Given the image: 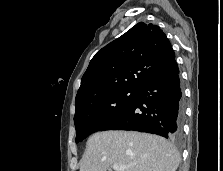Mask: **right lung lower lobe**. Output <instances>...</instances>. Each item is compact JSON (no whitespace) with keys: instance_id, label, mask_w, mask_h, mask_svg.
<instances>
[{"instance_id":"1","label":"right lung lower lobe","mask_w":223,"mask_h":171,"mask_svg":"<svg viewBox=\"0 0 223 171\" xmlns=\"http://www.w3.org/2000/svg\"><path fill=\"white\" fill-rule=\"evenodd\" d=\"M184 106L176 61L137 91L134 101L105 130H136L178 139Z\"/></svg>"}]
</instances>
